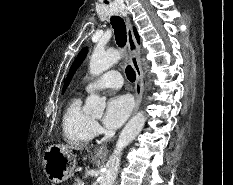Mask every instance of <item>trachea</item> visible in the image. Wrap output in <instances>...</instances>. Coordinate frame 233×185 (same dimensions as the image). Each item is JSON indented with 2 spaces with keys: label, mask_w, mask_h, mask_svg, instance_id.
<instances>
[{
  "label": "trachea",
  "mask_w": 233,
  "mask_h": 185,
  "mask_svg": "<svg viewBox=\"0 0 233 185\" xmlns=\"http://www.w3.org/2000/svg\"><path fill=\"white\" fill-rule=\"evenodd\" d=\"M111 25L114 29L117 45L123 48L127 41L126 26L124 20L119 16H112ZM125 72L128 80L130 82H134L136 79V74L133 68L130 65H128L125 69Z\"/></svg>",
  "instance_id": "1"
}]
</instances>
